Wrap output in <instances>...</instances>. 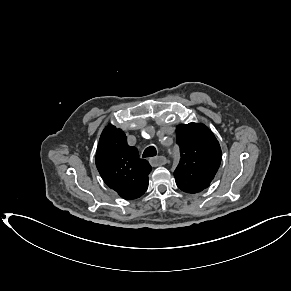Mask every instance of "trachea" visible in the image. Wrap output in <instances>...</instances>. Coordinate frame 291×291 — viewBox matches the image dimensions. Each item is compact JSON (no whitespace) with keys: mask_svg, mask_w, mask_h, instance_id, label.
Masks as SVG:
<instances>
[{"mask_svg":"<svg viewBox=\"0 0 291 291\" xmlns=\"http://www.w3.org/2000/svg\"><path fill=\"white\" fill-rule=\"evenodd\" d=\"M157 151L154 146L147 147L143 152V157H153L156 156Z\"/></svg>","mask_w":291,"mask_h":291,"instance_id":"3493384b","label":"trachea"}]
</instances>
